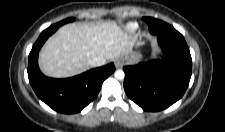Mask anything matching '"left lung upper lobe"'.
<instances>
[{"instance_id":"1","label":"left lung upper lobe","mask_w":225,"mask_h":132,"mask_svg":"<svg viewBox=\"0 0 225 132\" xmlns=\"http://www.w3.org/2000/svg\"><path fill=\"white\" fill-rule=\"evenodd\" d=\"M144 20H145V22L147 23V20L145 19V18H143ZM148 24V23H147ZM171 28H173L171 25H169V24H167V23H165V25L163 26V28H161V31H162V29L163 30H168V29H171ZM158 28H152L151 29V31L152 32H154V33H156V30H157Z\"/></svg>"}]
</instances>
